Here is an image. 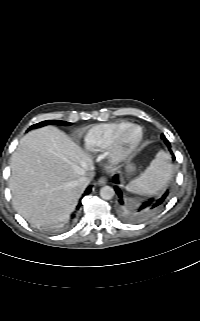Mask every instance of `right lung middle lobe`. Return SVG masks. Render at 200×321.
<instances>
[{"label": "right lung middle lobe", "mask_w": 200, "mask_h": 321, "mask_svg": "<svg viewBox=\"0 0 200 321\" xmlns=\"http://www.w3.org/2000/svg\"><path fill=\"white\" fill-rule=\"evenodd\" d=\"M48 124L70 125L71 123H68L66 121H60V120H47V121H43V122H40L38 124L31 126V128H38V127H42V126L48 125Z\"/></svg>", "instance_id": "1"}]
</instances>
